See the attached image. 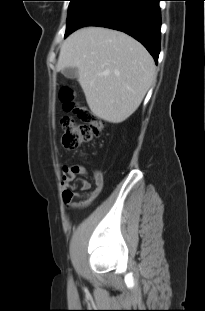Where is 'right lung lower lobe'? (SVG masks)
I'll return each instance as SVG.
<instances>
[{
    "label": "right lung lower lobe",
    "mask_w": 205,
    "mask_h": 311,
    "mask_svg": "<svg viewBox=\"0 0 205 311\" xmlns=\"http://www.w3.org/2000/svg\"><path fill=\"white\" fill-rule=\"evenodd\" d=\"M160 0H90L65 37L84 26L125 32L141 42L157 63L160 52Z\"/></svg>",
    "instance_id": "1"
}]
</instances>
